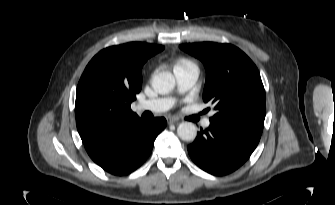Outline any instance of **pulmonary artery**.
Segmentation results:
<instances>
[{
  "mask_svg": "<svg viewBox=\"0 0 335 205\" xmlns=\"http://www.w3.org/2000/svg\"><path fill=\"white\" fill-rule=\"evenodd\" d=\"M173 72L180 92L190 89L196 83L199 76L198 67L191 62L176 64ZM173 104L174 100L172 98H157L139 103L138 109L159 113L169 110ZM202 125L208 127L210 125V118L204 119Z\"/></svg>",
  "mask_w": 335,
  "mask_h": 205,
  "instance_id": "e3ab8cb5",
  "label": "pulmonary artery"
}]
</instances>
